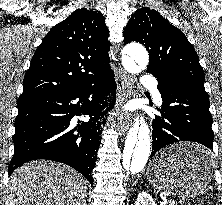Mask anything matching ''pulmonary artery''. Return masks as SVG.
I'll use <instances>...</instances> for the list:
<instances>
[{
	"label": "pulmonary artery",
	"mask_w": 222,
	"mask_h": 205,
	"mask_svg": "<svg viewBox=\"0 0 222 205\" xmlns=\"http://www.w3.org/2000/svg\"><path fill=\"white\" fill-rule=\"evenodd\" d=\"M141 84L144 87L149 88L152 91L155 100L158 103H161L162 99H161V95H160V93H159V91L157 90V87H156L157 80H156L155 77H153L152 75L145 74V75H143V77L141 79Z\"/></svg>",
	"instance_id": "obj_1"
}]
</instances>
